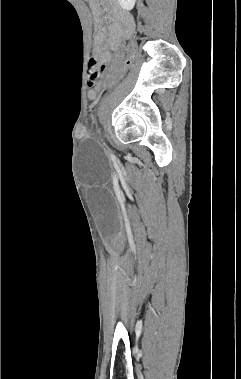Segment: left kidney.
<instances>
[{"label":"left kidney","mask_w":241,"mask_h":379,"mask_svg":"<svg viewBox=\"0 0 241 379\" xmlns=\"http://www.w3.org/2000/svg\"><path fill=\"white\" fill-rule=\"evenodd\" d=\"M121 8L124 10H131L133 9L136 0H117Z\"/></svg>","instance_id":"obj_1"}]
</instances>
